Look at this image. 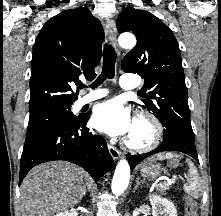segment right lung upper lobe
I'll return each mask as SVG.
<instances>
[{
    "label": "right lung upper lobe",
    "instance_id": "1",
    "mask_svg": "<svg viewBox=\"0 0 221 216\" xmlns=\"http://www.w3.org/2000/svg\"><path fill=\"white\" fill-rule=\"evenodd\" d=\"M103 40L100 21L85 7L63 11L45 23L33 47L30 115L77 100L72 86L80 76L95 78Z\"/></svg>",
    "mask_w": 221,
    "mask_h": 216
}]
</instances>
